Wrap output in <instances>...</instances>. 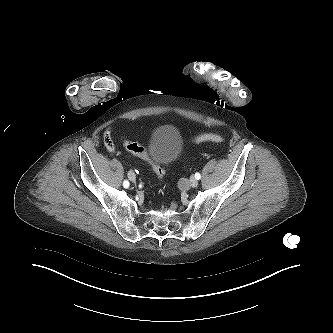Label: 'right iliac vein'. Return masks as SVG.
<instances>
[{
    "label": "right iliac vein",
    "instance_id": "63e3f726",
    "mask_svg": "<svg viewBox=\"0 0 333 333\" xmlns=\"http://www.w3.org/2000/svg\"><path fill=\"white\" fill-rule=\"evenodd\" d=\"M128 177H129V179H130L131 181H133V182L136 180V175H135V173H134L133 170H130V171L128 172Z\"/></svg>",
    "mask_w": 333,
    "mask_h": 333
}]
</instances>
